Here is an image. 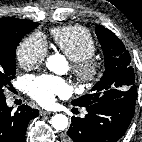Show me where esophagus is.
<instances>
[{"instance_id": "34e87169", "label": "esophagus", "mask_w": 142, "mask_h": 142, "mask_svg": "<svg viewBox=\"0 0 142 142\" xmlns=\"http://www.w3.org/2000/svg\"><path fill=\"white\" fill-rule=\"evenodd\" d=\"M50 114H51V112H49V111L40 110V115H41V116L50 115Z\"/></svg>"}]
</instances>
